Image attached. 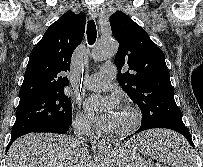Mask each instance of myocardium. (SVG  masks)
Wrapping results in <instances>:
<instances>
[{"mask_svg": "<svg viewBox=\"0 0 203 167\" xmlns=\"http://www.w3.org/2000/svg\"><path fill=\"white\" fill-rule=\"evenodd\" d=\"M125 111L130 116L131 122L128 127L122 130H111L110 133L116 137L124 138L133 134L141 122L140 113L133 107H127Z\"/></svg>", "mask_w": 203, "mask_h": 167, "instance_id": "1", "label": "myocardium"}]
</instances>
